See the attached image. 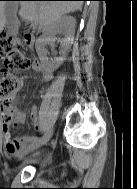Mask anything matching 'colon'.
<instances>
[{
	"instance_id": "colon-1",
	"label": "colon",
	"mask_w": 137,
	"mask_h": 189,
	"mask_svg": "<svg viewBox=\"0 0 137 189\" xmlns=\"http://www.w3.org/2000/svg\"><path fill=\"white\" fill-rule=\"evenodd\" d=\"M0 59L4 63L0 68V103L8 104L21 86L18 74L30 69L34 62L26 56L21 40L6 32H0Z\"/></svg>"
}]
</instances>
